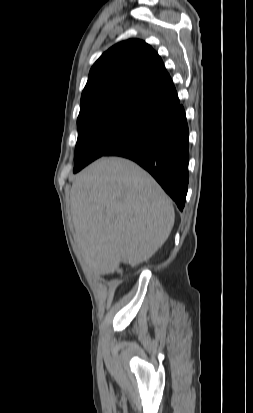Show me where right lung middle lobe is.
I'll use <instances>...</instances> for the list:
<instances>
[{
	"label": "right lung middle lobe",
	"mask_w": 253,
	"mask_h": 413,
	"mask_svg": "<svg viewBox=\"0 0 253 413\" xmlns=\"http://www.w3.org/2000/svg\"><path fill=\"white\" fill-rule=\"evenodd\" d=\"M154 117L140 110L123 107L103 109L79 117L73 172L80 171L145 129Z\"/></svg>",
	"instance_id": "obj_1"
}]
</instances>
